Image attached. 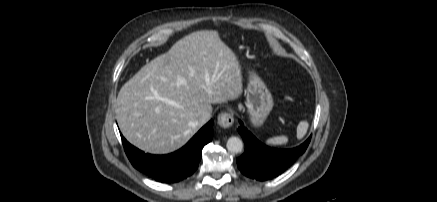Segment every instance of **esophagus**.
<instances>
[{"label": "esophagus", "mask_w": 437, "mask_h": 202, "mask_svg": "<svg viewBox=\"0 0 437 202\" xmlns=\"http://www.w3.org/2000/svg\"><path fill=\"white\" fill-rule=\"evenodd\" d=\"M217 122L220 127L229 128L234 122L233 114L230 112H222L218 115Z\"/></svg>", "instance_id": "34e87169"}]
</instances>
